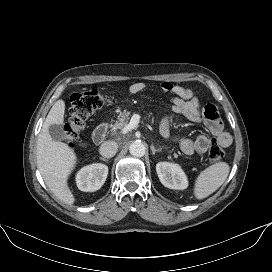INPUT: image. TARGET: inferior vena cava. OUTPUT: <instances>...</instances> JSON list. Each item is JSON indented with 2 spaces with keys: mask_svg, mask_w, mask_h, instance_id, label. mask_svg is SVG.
Instances as JSON below:
<instances>
[{
  "mask_svg": "<svg viewBox=\"0 0 272 272\" xmlns=\"http://www.w3.org/2000/svg\"><path fill=\"white\" fill-rule=\"evenodd\" d=\"M118 150V145L114 141H105L101 144L99 152L105 158L113 157Z\"/></svg>",
  "mask_w": 272,
  "mask_h": 272,
  "instance_id": "obj_1",
  "label": "inferior vena cava"
}]
</instances>
